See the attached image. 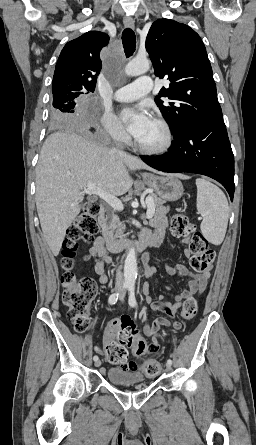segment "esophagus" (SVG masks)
<instances>
[{
    "label": "esophagus",
    "mask_w": 256,
    "mask_h": 445,
    "mask_svg": "<svg viewBox=\"0 0 256 445\" xmlns=\"http://www.w3.org/2000/svg\"><path fill=\"white\" fill-rule=\"evenodd\" d=\"M123 22H124V25L128 28L133 29L135 27L134 19L131 17H124Z\"/></svg>",
    "instance_id": "1"
}]
</instances>
